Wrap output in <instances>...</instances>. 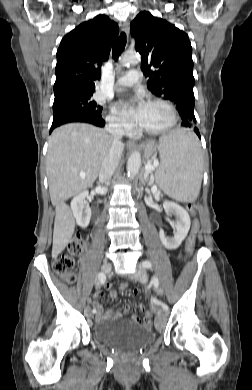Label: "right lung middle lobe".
Instances as JSON below:
<instances>
[{"instance_id": "dd1d6c3e", "label": "right lung middle lobe", "mask_w": 252, "mask_h": 390, "mask_svg": "<svg viewBox=\"0 0 252 390\" xmlns=\"http://www.w3.org/2000/svg\"><path fill=\"white\" fill-rule=\"evenodd\" d=\"M92 94L77 95L54 101L53 115L64 112H79L101 117L102 107L91 100Z\"/></svg>"}]
</instances>
